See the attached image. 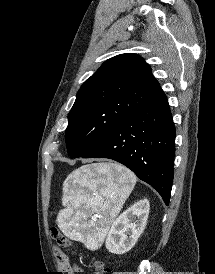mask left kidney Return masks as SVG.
Segmentation results:
<instances>
[{
	"mask_svg": "<svg viewBox=\"0 0 215 274\" xmlns=\"http://www.w3.org/2000/svg\"><path fill=\"white\" fill-rule=\"evenodd\" d=\"M149 209V201L143 199L119 215L106 238L105 246L109 252L121 255L133 248L145 229Z\"/></svg>",
	"mask_w": 215,
	"mask_h": 274,
	"instance_id": "5707ae66",
	"label": "left kidney"
}]
</instances>
